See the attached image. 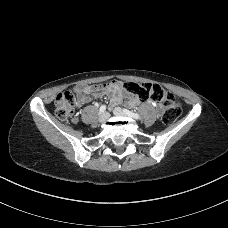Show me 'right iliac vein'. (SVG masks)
<instances>
[{"label":"right iliac vein","mask_w":228,"mask_h":228,"mask_svg":"<svg viewBox=\"0 0 228 228\" xmlns=\"http://www.w3.org/2000/svg\"><path fill=\"white\" fill-rule=\"evenodd\" d=\"M109 113L105 112V113H102L99 117V122H105L108 118H109Z\"/></svg>","instance_id":"obj_1"}]
</instances>
